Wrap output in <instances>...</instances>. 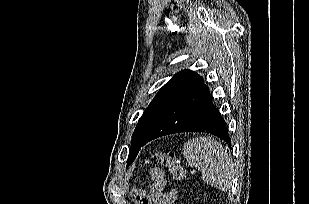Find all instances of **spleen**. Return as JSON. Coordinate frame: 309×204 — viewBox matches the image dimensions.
Returning a JSON list of instances; mask_svg holds the SVG:
<instances>
[{"label":"spleen","mask_w":309,"mask_h":204,"mask_svg":"<svg viewBox=\"0 0 309 204\" xmlns=\"http://www.w3.org/2000/svg\"><path fill=\"white\" fill-rule=\"evenodd\" d=\"M183 155L191 167L201 171L205 183L223 191L231 188L234 178L233 164L227 151L215 139H191L184 145Z\"/></svg>","instance_id":"1"}]
</instances>
